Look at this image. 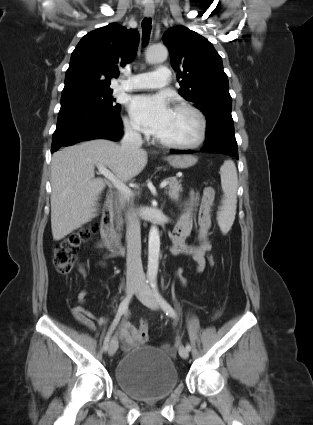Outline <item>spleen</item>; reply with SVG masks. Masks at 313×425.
<instances>
[{
    "instance_id": "spleen-1",
    "label": "spleen",
    "mask_w": 313,
    "mask_h": 425,
    "mask_svg": "<svg viewBox=\"0 0 313 425\" xmlns=\"http://www.w3.org/2000/svg\"><path fill=\"white\" fill-rule=\"evenodd\" d=\"M220 175L224 199L217 213V221L222 233L226 234L233 225L236 215L238 177L235 163L232 160L224 161Z\"/></svg>"
}]
</instances>
